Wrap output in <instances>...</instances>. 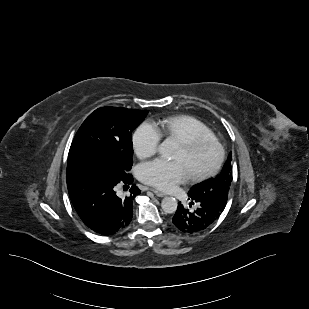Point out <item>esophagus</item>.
<instances>
[{
	"label": "esophagus",
	"mask_w": 309,
	"mask_h": 309,
	"mask_svg": "<svg viewBox=\"0 0 309 309\" xmlns=\"http://www.w3.org/2000/svg\"><path fill=\"white\" fill-rule=\"evenodd\" d=\"M152 192H154L158 197H164L165 194L157 189L151 188L150 189Z\"/></svg>",
	"instance_id": "34e87169"
}]
</instances>
